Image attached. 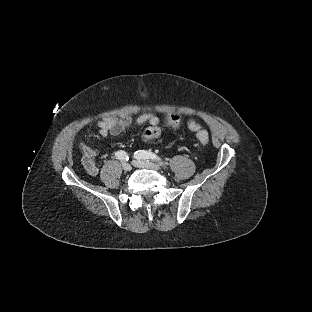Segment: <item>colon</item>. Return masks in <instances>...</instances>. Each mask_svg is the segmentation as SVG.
<instances>
[{
    "label": "colon",
    "instance_id": "colon-1",
    "mask_svg": "<svg viewBox=\"0 0 312 312\" xmlns=\"http://www.w3.org/2000/svg\"><path fill=\"white\" fill-rule=\"evenodd\" d=\"M165 121L170 126H177L180 124L181 119L177 115L169 114L166 116ZM160 133V130L158 127L153 125H148L143 127L139 132V139L141 142L146 143L149 141L150 136L156 137ZM197 137L201 144L207 145L209 143V136L205 132H199L197 134Z\"/></svg>",
    "mask_w": 312,
    "mask_h": 312
}]
</instances>
